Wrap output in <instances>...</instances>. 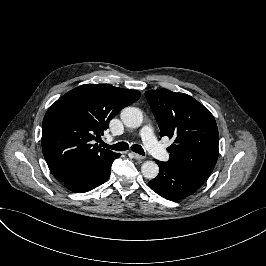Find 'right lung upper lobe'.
Listing matches in <instances>:
<instances>
[{"instance_id": "1", "label": "right lung upper lobe", "mask_w": 266, "mask_h": 266, "mask_svg": "<svg viewBox=\"0 0 266 266\" xmlns=\"http://www.w3.org/2000/svg\"><path fill=\"white\" fill-rule=\"evenodd\" d=\"M141 93L109 84L81 85L59 98L42 124V150L47 165L60 182L68 180L85 163L106 160L115 153L94 146L91 140L109 126L124 107Z\"/></svg>"}]
</instances>
